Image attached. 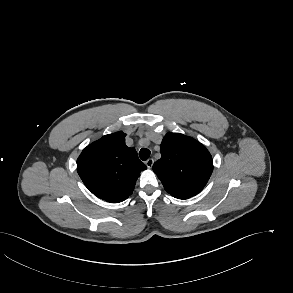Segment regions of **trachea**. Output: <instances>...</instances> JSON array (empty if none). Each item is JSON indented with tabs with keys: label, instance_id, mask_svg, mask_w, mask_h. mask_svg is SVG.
<instances>
[{
	"label": "trachea",
	"instance_id": "trachea-1",
	"mask_svg": "<svg viewBox=\"0 0 293 293\" xmlns=\"http://www.w3.org/2000/svg\"><path fill=\"white\" fill-rule=\"evenodd\" d=\"M150 150L147 148H142L139 152L140 159L146 161L150 156Z\"/></svg>",
	"mask_w": 293,
	"mask_h": 293
}]
</instances>
